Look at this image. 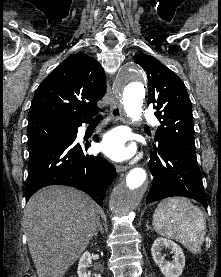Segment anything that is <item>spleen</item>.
<instances>
[{"label": "spleen", "mask_w": 221, "mask_h": 277, "mask_svg": "<svg viewBox=\"0 0 221 277\" xmlns=\"http://www.w3.org/2000/svg\"><path fill=\"white\" fill-rule=\"evenodd\" d=\"M153 227L158 234L180 242L192 253L201 251L206 234L205 215L189 199L161 201L153 214Z\"/></svg>", "instance_id": "obj_1"}]
</instances>
